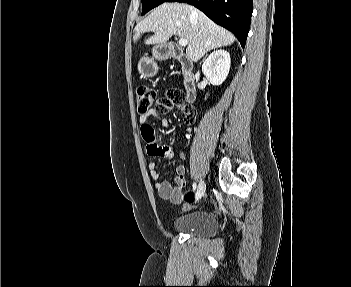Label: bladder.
<instances>
[{"label": "bladder", "mask_w": 351, "mask_h": 287, "mask_svg": "<svg viewBox=\"0 0 351 287\" xmlns=\"http://www.w3.org/2000/svg\"><path fill=\"white\" fill-rule=\"evenodd\" d=\"M218 221L208 211H195L179 217L173 228L181 233L199 236H211L218 230Z\"/></svg>", "instance_id": "obj_1"}]
</instances>
